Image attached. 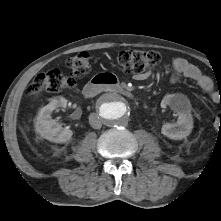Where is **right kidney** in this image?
I'll return each instance as SVG.
<instances>
[{
	"label": "right kidney",
	"mask_w": 221,
	"mask_h": 221,
	"mask_svg": "<svg viewBox=\"0 0 221 221\" xmlns=\"http://www.w3.org/2000/svg\"><path fill=\"white\" fill-rule=\"evenodd\" d=\"M66 106L67 100L65 98L56 97L40 109L35 121V130L41 137L55 143H65L71 139L73 132L68 128H62L51 117L53 110Z\"/></svg>",
	"instance_id": "ca27d5eb"
}]
</instances>
